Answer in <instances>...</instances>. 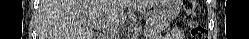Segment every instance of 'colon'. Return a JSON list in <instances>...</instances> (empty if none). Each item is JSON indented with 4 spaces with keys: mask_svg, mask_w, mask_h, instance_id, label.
<instances>
[{
    "mask_svg": "<svg viewBox=\"0 0 249 39\" xmlns=\"http://www.w3.org/2000/svg\"><path fill=\"white\" fill-rule=\"evenodd\" d=\"M198 8L197 0H185L183 4V12L189 22L193 39H202L206 37V30L197 23L193 18Z\"/></svg>",
    "mask_w": 249,
    "mask_h": 39,
    "instance_id": "obj_1",
    "label": "colon"
}]
</instances>
